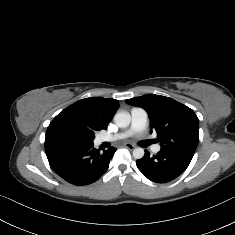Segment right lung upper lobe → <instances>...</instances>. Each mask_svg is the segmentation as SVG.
<instances>
[{
	"label": "right lung upper lobe",
	"mask_w": 235,
	"mask_h": 235,
	"mask_svg": "<svg viewBox=\"0 0 235 235\" xmlns=\"http://www.w3.org/2000/svg\"><path fill=\"white\" fill-rule=\"evenodd\" d=\"M118 108L119 101L115 99L91 97L79 100L53 119L47 128L46 140L62 135L67 124H77L93 133L106 129Z\"/></svg>",
	"instance_id": "cb5924a9"
}]
</instances>
